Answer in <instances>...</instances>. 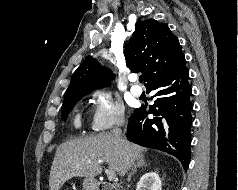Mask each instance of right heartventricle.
<instances>
[{"label":"right heart ventricle","mask_w":238,"mask_h":190,"mask_svg":"<svg viewBox=\"0 0 238 190\" xmlns=\"http://www.w3.org/2000/svg\"><path fill=\"white\" fill-rule=\"evenodd\" d=\"M79 124H80V119H79V117H76V119H75V125H76V126H79Z\"/></svg>","instance_id":"e07e8e85"}]
</instances>
